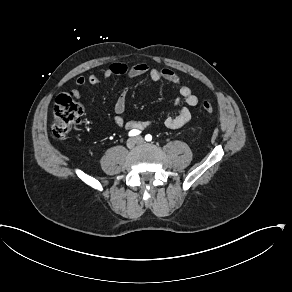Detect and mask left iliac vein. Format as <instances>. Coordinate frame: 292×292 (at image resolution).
Listing matches in <instances>:
<instances>
[{"instance_id":"obj_1","label":"left iliac vein","mask_w":292,"mask_h":292,"mask_svg":"<svg viewBox=\"0 0 292 292\" xmlns=\"http://www.w3.org/2000/svg\"><path fill=\"white\" fill-rule=\"evenodd\" d=\"M137 139H138V142H139V143H143V142H144L143 139H142L141 137H138Z\"/></svg>"}]
</instances>
